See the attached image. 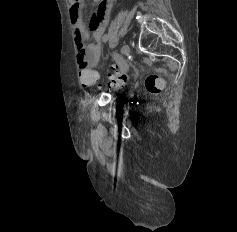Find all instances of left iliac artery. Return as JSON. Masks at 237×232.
I'll list each match as a JSON object with an SVG mask.
<instances>
[{
  "mask_svg": "<svg viewBox=\"0 0 237 232\" xmlns=\"http://www.w3.org/2000/svg\"><path fill=\"white\" fill-rule=\"evenodd\" d=\"M109 39V35L105 34L102 38L103 42H107V40Z\"/></svg>",
  "mask_w": 237,
  "mask_h": 232,
  "instance_id": "obj_1",
  "label": "left iliac artery"
}]
</instances>
